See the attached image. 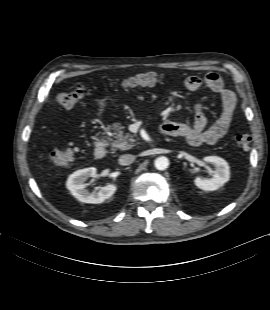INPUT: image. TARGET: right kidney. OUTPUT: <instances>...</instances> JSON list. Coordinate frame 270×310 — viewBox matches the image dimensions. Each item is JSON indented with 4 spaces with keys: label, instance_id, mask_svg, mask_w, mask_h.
Here are the masks:
<instances>
[{
    "label": "right kidney",
    "instance_id": "1",
    "mask_svg": "<svg viewBox=\"0 0 270 310\" xmlns=\"http://www.w3.org/2000/svg\"><path fill=\"white\" fill-rule=\"evenodd\" d=\"M96 174L95 167H89L75 171L71 174L66 182V187L71 194L81 202L99 204L110 198L116 191L117 187L114 184H107L101 187L98 192L90 193L86 189L85 181L89 177H94Z\"/></svg>",
    "mask_w": 270,
    "mask_h": 310
}]
</instances>
